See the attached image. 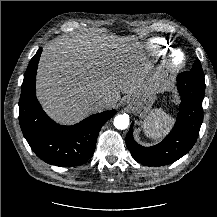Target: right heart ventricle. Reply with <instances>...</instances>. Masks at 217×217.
<instances>
[{"instance_id":"e07e8e85","label":"right heart ventricle","mask_w":217,"mask_h":217,"mask_svg":"<svg viewBox=\"0 0 217 217\" xmlns=\"http://www.w3.org/2000/svg\"><path fill=\"white\" fill-rule=\"evenodd\" d=\"M151 48L156 50L157 54H164L166 50V44L162 39H154L151 44Z\"/></svg>"}]
</instances>
